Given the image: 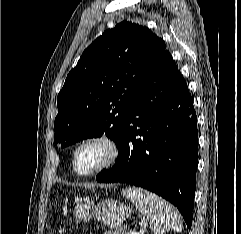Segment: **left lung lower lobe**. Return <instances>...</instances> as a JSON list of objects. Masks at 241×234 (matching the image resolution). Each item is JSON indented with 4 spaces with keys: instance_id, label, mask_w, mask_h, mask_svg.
<instances>
[{
    "instance_id": "left-lung-lower-lobe-1",
    "label": "left lung lower lobe",
    "mask_w": 241,
    "mask_h": 234,
    "mask_svg": "<svg viewBox=\"0 0 241 234\" xmlns=\"http://www.w3.org/2000/svg\"><path fill=\"white\" fill-rule=\"evenodd\" d=\"M197 116L187 83L165 50L131 102L115 165L101 183H129L175 205L190 228L198 164Z\"/></svg>"
}]
</instances>
